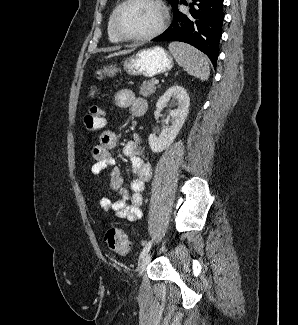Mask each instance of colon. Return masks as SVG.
Segmentation results:
<instances>
[{
  "label": "colon",
  "instance_id": "1",
  "mask_svg": "<svg viewBox=\"0 0 298 325\" xmlns=\"http://www.w3.org/2000/svg\"><path fill=\"white\" fill-rule=\"evenodd\" d=\"M96 78L102 79V73L96 72ZM105 125L104 111L98 105H92L84 116V126L89 133H95ZM105 241L108 247L119 255L130 252V244L126 233L115 227L108 228L105 232Z\"/></svg>",
  "mask_w": 298,
  "mask_h": 325
}]
</instances>
